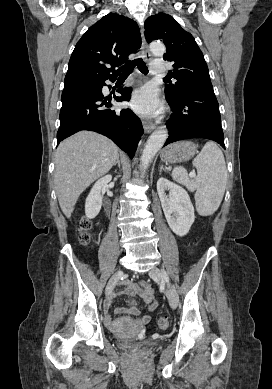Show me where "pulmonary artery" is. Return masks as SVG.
Returning <instances> with one entry per match:
<instances>
[{
	"mask_svg": "<svg viewBox=\"0 0 272 389\" xmlns=\"http://www.w3.org/2000/svg\"><path fill=\"white\" fill-rule=\"evenodd\" d=\"M150 70L154 74H164L167 71L165 61L163 59H155L151 62Z\"/></svg>",
	"mask_w": 272,
	"mask_h": 389,
	"instance_id": "obj_1",
	"label": "pulmonary artery"
}]
</instances>
